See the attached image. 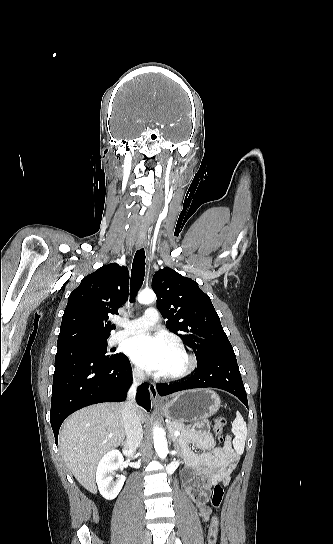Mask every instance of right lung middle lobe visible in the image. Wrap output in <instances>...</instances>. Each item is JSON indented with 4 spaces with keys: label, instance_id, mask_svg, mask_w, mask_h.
Returning a JSON list of instances; mask_svg holds the SVG:
<instances>
[{
    "label": "right lung middle lobe",
    "instance_id": "right-lung-middle-lobe-1",
    "mask_svg": "<svg viewBox=\"0 0 333 544\" xmlns=\"http://www.w3.org/2000/svg\"><path fill=\"white\" fill-rule=\"evenodd\" d=\"M83 346L87 347L96 357L103 360H113L117 358L118 354L107 353V340H94L84 342Z\"/></svg>",
    "mask_w": 333,
    "mask_h": 544
}]
</instances>
